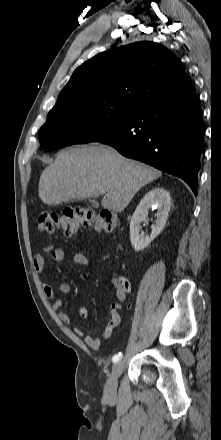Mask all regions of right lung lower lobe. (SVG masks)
Masks as SVG:
<instances>
[{"label": "right lung lower lobe", "mask_w": 221, "mask_h": 440, "mask_svg": "<svg viewBox=\"0 0 221 440\" xmlns=\"http://www.w3.org/2000/svg\"><path fill=\"white\" fill-rule=\"evenodd\" d=\"M97 142L183 179L196 195L203 123L191 84L142 103Z\"/></svg>", "instance_id": "98d812e1"}]
</instances>
